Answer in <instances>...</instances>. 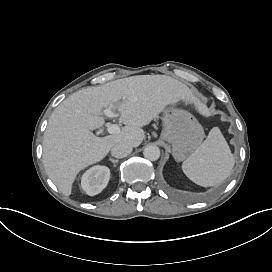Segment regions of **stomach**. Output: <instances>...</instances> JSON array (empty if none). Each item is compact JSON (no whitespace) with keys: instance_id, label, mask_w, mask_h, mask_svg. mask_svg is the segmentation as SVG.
Instances as JSON below:
<instances>
[{"instance_id":"1","label":"stomach","mask_w":272,"mask_h":272,"mask_svg":"<svg viewBox=\"0 0 272 272\" xmlns=\"http://www.w3.org/2000/svg\"><path fill=\"white\" fill-rule=\"evenodd\" d=\"M161 138L173 146V157L179 162L201 144L204 131L199 122L187 111L173 108L164 112Z\"/></svg>"}]
</instances>
